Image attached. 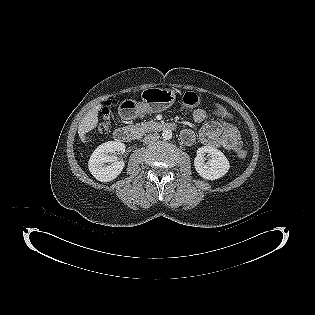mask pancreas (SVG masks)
Masks as SVG:
<instances>
[{
	"label": "pancreas",
	"instance_id": "cf45deb5",
	"mask_svg": "<svg viewBox=\"0 0 315 315\" xmlns=\"http://www.w3.org/2000/svg\"><path fill=\"white\" fill-rule=\"evenodd\" d=\"M151 124H154V122H149V123H140L132 126V130H134L135 134L142 135L146 132H148L151 128Z\"/></svg>",
	"mask_w": 315,
	"mask_h": 315
}]
</instances>
